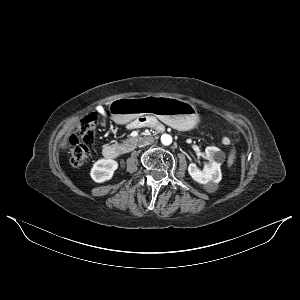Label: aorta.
I'll return each instance as SVG.
<instances>
[{"mask_svg": "<svg viewBox=\"0 0 300 300\" xmlns=\"http://www.w3.org/2000/svg\"><path fill=\"white\" fill-rule=\"evenodd\" d=\"M161 143L165 146H168L172 143V137L169 134H163L161 136Z\"/></svg>", "mask_w": 300, "mask_h": 300, "instance_id": "762f6f07", "label": "aorta"}]
</instances>
